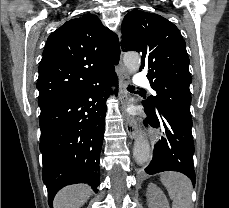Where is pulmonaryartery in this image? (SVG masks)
Returning <instances> with one entry per match:
<instances>
[{
	"mask_svg": "<svg viewBox=\"0 0 229 208\" xmlns=\"http://www.w3.org/2000/svg\"><path fill=\"white\" fill-rule=\"evenodd\" d=\"M138 77H143L144 73L143 72H138L137 73ZM134 86L135 87H148V83L150 82L149 78H135L134 79Z\"/></svg>",
	"mask_w": 229,
	"mask_h": 208,
	"instance_id": "pulmonary-artery-1",
	"label": "pulmonary artery"
}]
</instances>
